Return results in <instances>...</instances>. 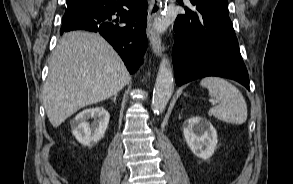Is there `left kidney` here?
<instances>
[{
  "label": "left kidney",
  "instance_id": "5707ae66",
  "mask_svg": "<svg viewBox=\"0 0 293 184\" xmlns=\"http://www.w3.org/2000/svg\"><path fill=\"white\" fill-rule=\"evenodd\" d=\"M183 133L192 153L197 157L207 160L217 146V131L206 119L193 116L183 124Z\"/></svg>",
  "mask_w": 293,
  "mask_h": 184
}]
</instances>
